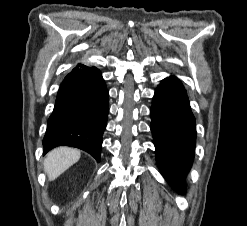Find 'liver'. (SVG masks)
<instances>
[{"label":"liver","mask_w":247,"mask_h":226,"mask_svg":"<svg viewBox=\"0 0 247 226\" xmlns=\"http://www.w3.org/2000/svg\"><path fill=\"white\" fill-rule=\"evenodd\" d=\"M80 151L70 147H58L50 151L44 160V171L54 180L80 159Z\"/></svg>","instance_id":"liver-1"}]
</instances>
